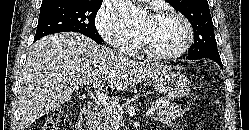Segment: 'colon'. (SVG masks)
I'll return each mask as SVG.
<instances>
[{"mask_svg":"<svg viewBox=\"0 0 249 130\" xmlns=\"http://www.w3.org/2000/svg\"><path fill=\"white\" fill-rule=\"evenodd\" d=\"M41 130H60V113H51L43 123Z\"/></svg>","mask_w":249,"mask_h":130,"instance_id":"5ec220e1","label":"colon"}]
</instances>
